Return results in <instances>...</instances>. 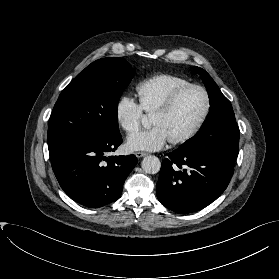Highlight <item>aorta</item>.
Listing matches in <instances>:
<instances>
[{
  "label": "aorta",
  "instance_id": "aorta-1",
  "mask_svg": "<svg viewBox=\"0 0 279 279\" xmlns=\"http://www.w3.org/2000/svg\"><path fill=\"white\" fill-rule=\"evenodd\" d=\"M142 124L144 127H148L149 123L146 117L142 118ZM141 166L145 173L156 174L160 171L161 162L158 157L150 155L142 160Z\"/></svg>",
  "mask_w": 279,
  "mask_h": 279
}]
</instances>
